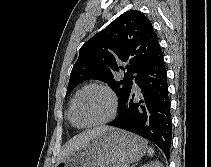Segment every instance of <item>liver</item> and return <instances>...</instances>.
Listing matches in <instances>:
<instances>
[{
    "label": "liver",
    "mask_w": 211,
    "mask_h": 167,
    "mask_svg": "<svg viewBox=\"0 0 211 167\" xmlns=\"http://www.w3.org/2000/svg\"><path fill=\"white\" fill-rule=\"evenodd\" d=\"M109 129H111V127L99 126V127L86 130L85 132L75 136L74 138H72L70 141H68L65 144L61 152V155L58 159V162H60L62 159H64L66 156H68L72 152L81 149L83 146L88 144L92 139L103 134Z\"/></svg>",
    "instance_id": "liver-1"
}]
</instances>
